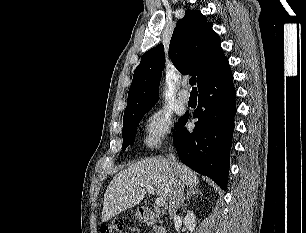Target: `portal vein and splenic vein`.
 <instances>
[{
    "instance_id": "18ae733b",
    "label": "portal vein and splenic vein",
    "mask_w": 306,
    "mask_h": 233,
    "mask_svg": "<svg viewBox=\"0 0 306 233\" xmlns=\"http://www.w3.org/2000/svg\"><path fill=\"white\" fill-rule=\"evenodd\" d=\"M141 186L145 187L150 194H154L155 190H154L153 186H151L149 184H141ZM155 203H156L157 206H164L165 205V200L163 198H157L155 200Z\"/></svg>"
}]
</instances>
